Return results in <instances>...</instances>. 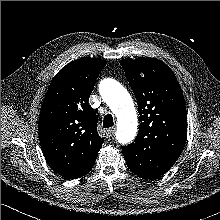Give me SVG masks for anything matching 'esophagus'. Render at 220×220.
<instances>
[{
	"label": "esophagus",
	"instance_id": "1",
	"mask_svg": "<svg viewBox=\"0 0 220 220\" xmlns=\"http://www.w3.org/2000/svg\"><path fill=\"white\" fill-rule=\"evenodd\" d=\"M114 133H115V128L114 127H112V128H109L108 130H107V132H106V134H107V137H112L113 135H114Z\"/></svg>",
	"mask_w": 220,
	"mask_h": 220
}]
</instances>
